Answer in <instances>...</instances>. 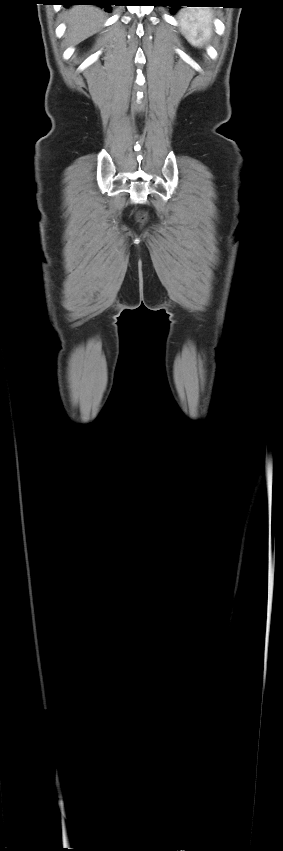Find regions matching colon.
I'll list each match as a JSON object with an SVG mask.
<instances>
[{"label": "colon", "instance_id": "obj_1", "mask_svg": "<svg viewBox=\"0 0 283 851\" xmlns=\"http://www.w3.org/2000/svg\"><path fill=\"white\" fill-rule=\"evenodd\" d=\"M138 219H139L140 221H143V220L145 219V216H144L143 214H140V215L138 216Z\"/></svg>", "mask_w": 283, "mask_h": 851}]
</instances>
